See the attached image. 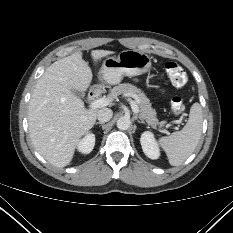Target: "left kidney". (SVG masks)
Instances as JSON below:
<instances>
[{"instance_id": "obj_1", "label": "left kidney", "mask_w": 233, "mask_h": 233, "mask_svg": "<svg viewBox=\"0 0 233 233\" xmlns=\"http://www.w3.org/2000/svg\"><path fill=\"white\" fill-rule=\"evenodd\" d=\"M140 143L144 154L151 159H158L160 156V149L156 142L153 133L143 132L140 138Z\"/></svg>"}]
</instances>
